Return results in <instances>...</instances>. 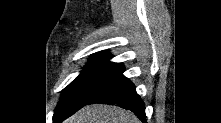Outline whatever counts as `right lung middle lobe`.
Segmentation results:
<instances>
[{"label": "right lung middle lobe", "instance_id": "obj_1", "mask_svg": "<svg viewBox=\"0 0 221 123\" xmlns=\"http://www.w3.org/2000/svg\"><path fill=\"white\" fill-rule=\"evenodd\" d=\"M106 52L94 54L88 64L62 92L56 113L71 116L90 100L95 89L123 65L110 62Z\"/></svg>", "mask_w": 221, "mask_h": 123}]
</instances>
